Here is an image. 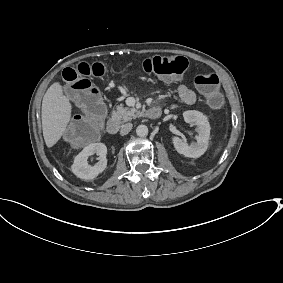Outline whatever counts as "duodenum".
<instances>
[{
  "instance_id": "1",
  "label": "duodenum",
  "mask_w": 283,
  "mask_h": 283,
  "mask_svg": "<svg viewBox=\"0 0 283 283\" xmlns=\"http://www.w3.org/2000/svg\"><path fill=\"white\" fill-rule=\"evenodd\" d=\"M162 109L158 106L151 107L146 110L145 116L149 119H157L161 116ZM119 129V124L116 120L110 119L106 124V130L109 135H114Z\"/></svg>"
}]
</instances>
